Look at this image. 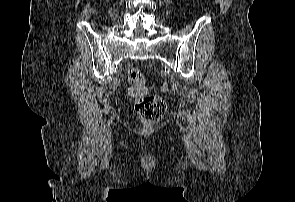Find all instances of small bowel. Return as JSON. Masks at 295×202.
<instances>
[{
  "instance_id": "obj_1",
  "label": "small bowel",
  "mask_w": 295,
  "mask_h": 202,
  "mask_svg": "<svg viewBox=\"0 0 295 202\" xmlns=\"http://www.w3.org/2000/svg\"><path fill=\"white\" fill-rule=\"evenodd\" d=\"M135 98H150L148 89H140V93H135Z\"/></svg>"
}]
</instances>
